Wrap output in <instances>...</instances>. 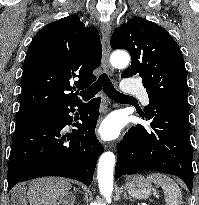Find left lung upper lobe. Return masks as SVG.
I'll return each instance as SVG.
<instances>
[{"label": "left lung upper lobe", "instance_id": "obj_1", "mask_svg": "<svg viewBox=\"0 0 199 205\" xmlns=\"http://www.w3.org/2000/svg\"><path fill=\"white\" fill-rule=\"evenodd\" d=\"M111 47L130 53L131 66L121 77L140 76L150 101L189 111L183 55L164 28L143 18H132L113 32Z\"/></svg>", "mask_w": 199, "mask_h": 205}]
</instances>
